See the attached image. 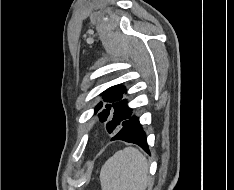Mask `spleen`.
I'll list each match as a JSON object with an SVG mask.
<instances>
[{"label":"spleen","instance_id":"3e777b00","mask_svg":"<svg viewBox=\"0 0 234 190\" xmlns=\"http://www.w3.org/2000/svg\"><path fill=\"white\" fill-rule=\"evenodd\" d=\"M148 162L134 147L116 152L100 172L102 190H146Z\"/></svg>","mask_w":234,"mask_h":190}]
</instances>
